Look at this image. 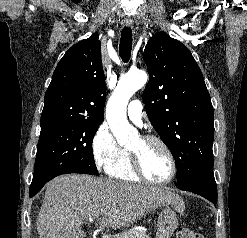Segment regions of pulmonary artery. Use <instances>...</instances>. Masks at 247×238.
<instances>
[{"mask_svg": "<svg viewBox=\"0 0 247 238\" xmlns=\"http://www.w3.org/2000/svg\"><path fill=\"white\" fill-rule=\"evenodd\" d=\"M142 104L139 100H133L127 107V114L131 121L141 125L142 121Z\"/></svg>", "mask_w": 247, "mask_h": 238, "instance_id": "pulmonary-artery-1", "label": "pulmonary artery"}]
</instances>
